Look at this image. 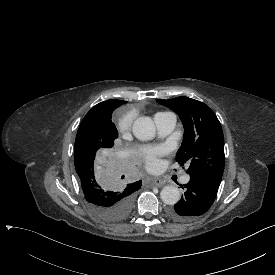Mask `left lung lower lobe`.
I'll return each mask as SVG.
<instances>
[{
	"label": "left lung lower lobe",
	"mask_w": 275,
	"mask_h": 275,
	"mask_svg": "<svg viewBox=\"0 0 275 275\" xmlns=\"http://www.w3.org/2000/svg\"><path fill=\"white\" fill-rule=\"evenodd\" d=\"M221 181L193 175L185 185L184 196L174 207L167 210L168 216L178 222H184L206 213L213 204Z\"/></svg>",
	"instance_id": "left-lung-lower-lobe-1"
}]
</instances>
